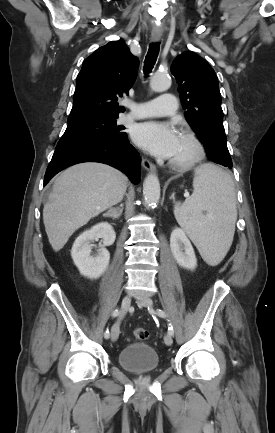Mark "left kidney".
<instances>
[{
	"label": "left kidney",
	"instance_id": "left-kidney-1",
	"mask_svg": "<svg viewBox=\"0 0 275 433\" xmlns=\"http://www.w3.org/2000/svg\"><path fill=\"white\" fill-rule=\"evenodd\" d=\"M170 248L179 266L195 269L197 259L190 240L181 228H175L170 236Z\"/></svg>",
	"mask_w": 275,
	"mask_h": 433
}]
</instances>
